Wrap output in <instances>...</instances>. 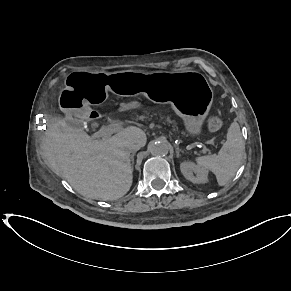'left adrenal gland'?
I'll use <instances>...</instances> for the list:
<instances>
[{"mask_svg": "<svg viewBox=\"0 0 291 291\" xmlns=\"http://www.w3.org/2000/svg\"><path fill=\"white\" fill-rule=\"evenodd\" d=\"M180 152H182V150H181V149H179V147H178V146H176V156H177V158H179V157H180Z\"/></svg>", "mask_w": 291, "mask_h": 291, "instance_id": "left-adrenal-gland-1", "label": "left adrenal gland"}]
</instances>
